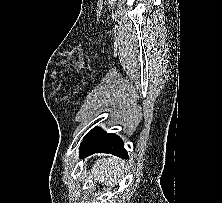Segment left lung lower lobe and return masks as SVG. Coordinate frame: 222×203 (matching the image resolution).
Masks as SVG:
<instances>
[{
    "mask_svg": "<svg viewBox=\"0 0 222 203\" xmlns=\"http://www.w3.org/2000/svg\"><path fill=\"white\" fill-rule=\"evenodd\" d=\"M94 153H110L121 158H128L123 141L113 133H105L100 128L92 129L83 139L80 156Z\"/></svg>",
    "mask_w": 222,
    "mask_h": 203,
    "instance_id": "left-lung-lower-lobe-1",
    "label": "left lung lower lobe"
}]
</instances>
